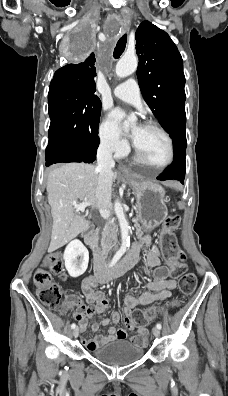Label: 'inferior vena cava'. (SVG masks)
<instances>
[{
  "label": "inferior vena cava",
  "mask_w": 228,
  "mask_h": 396,
  "mask_svg": "<svg viewBox=\"0 0 228 396\" xmlns=\"http://www.w3.org/2000/svg\"><path fill=\"white\" fill-rule=\"evenodd\" d=\"M97 171L99 172L98 186L96 191L97 207L107 208L111 197L112 168L115 162L112 157V149L102 143L97 151ZM111 247H108L110 249Z\"/></svg>",
  "instance_id": "602c4592"
}]
</instances>
